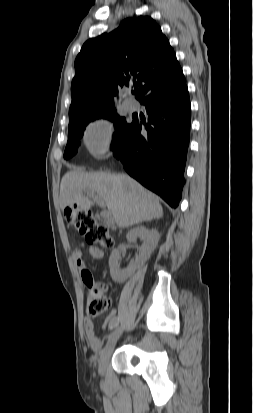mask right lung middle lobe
<instances>
[{"label":"right lung middle lobe","instance_id":"dd1d6c3e","mask_svg":"<svg viewBox=\"0 0 253 413\" xmlns=\"http://www.w3.org/2000/svg\"><path fill=\"white\" fill-rule=\"evenodd\" d=\"M107 118L115 123V134L112 140L114 149L125 137L132 123H127L124 117H120L114 106L104 107L76 119L69 121L68 142L64 152V158L68 159L75 155L80 145V138L83 136L86 125L97 118Z\"/></svg>","mask_w":253,"mask_h":413}]
</instances>
